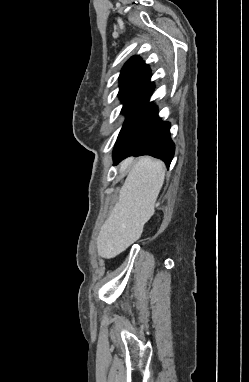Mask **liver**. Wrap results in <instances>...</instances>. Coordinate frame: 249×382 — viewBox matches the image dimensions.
<instances>
[{
	"label": "liver",
	"instance_id": "1",
	"mask_svg": "<svg viewBox=\"0 0 249 382\" xmlns=\"http://www.w3.org/2000/svg\"><path fill=\"white\" fill-rule=\"evenodd\" d=\"M119 172L128 175L97 238L98 254L107 259L116 257L141 237L144 224L155 212L165 166L151 157H142L135 163L128 158L120 163Z\"/></svg>",
	"mask_w": 249,
	"mask_h": 382
}]
</instances>
